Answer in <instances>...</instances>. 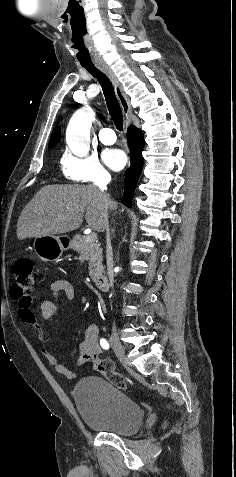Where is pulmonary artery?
Returning <instances> with one entry per match:
<instances>
[{
    "label": "pulmonary artery",
    "instance_id": "e3ab8cb5",
    "mask_svg": "<svg viewBox=\"0 0 236 477\" xmlns=\"http://www.w3.org/2000/svg\"><path fill=\"white\" fill-rule=\"evenodd\" d=\"M99 139L103 144L112 145L116 141L115 132L111 128H102L99 130Z\"/></svg>",
    "mask_w": 236,
    "mask_h": 477
}]
</instances>
